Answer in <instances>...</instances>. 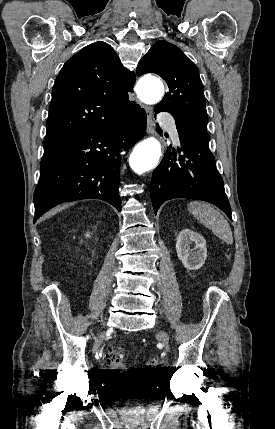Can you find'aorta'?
Returning <instances> with one entry per match:
<instances>
[{
  "mask_svg": "<svg viewBox=\"0 0 275 429\" xmlns=\"http://www.w3.org/2000/svg\"><path fill=\"white\" fill-rule=\"evenodd\" d=\"M163 95L164 85L159 79L143 78L139 82L138 96L144 103L156 104ZM160 156V142L154 137H149L135 146L130 156V165L137 174H143L158 164Z\"/></svg>",
  "mask_w": 275,
  "mask_h": 429,
  "instance_id": "1",
  "label": "aorta"
}]
</instances>
